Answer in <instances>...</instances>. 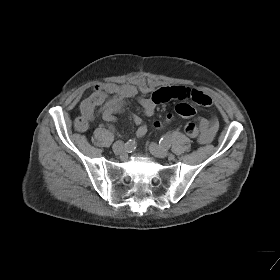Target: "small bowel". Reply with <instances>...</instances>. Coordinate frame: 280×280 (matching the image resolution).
Segmentation results:
<instances>
[{"label": "small bowel", "mask_w": 280, "mask_h": 280, "mask_svg": "<svg viewBox=\"0 0 280 280\" xmlns=\"http://www.w3.org/2000/svg\"><path fill=\"white\" fill-rule=\"evenodd\" d=\"M137 94V88L131 84L119 85L111 82L98 84L91 94L81 102V117L87 124L80 131H85L88 124L97 115H100L106 121H113L115 114L125 112L127 101L136 97ZM169 100H190L201 106H210L212 104V99L208 95L186 87H161L153 91L149 97L138 98L144 114L148 117L154 114L159 104ZM130 118L137 126V137H143L147 132V125L143 119L134 114H131ZM190 123L196 125V132L190 134V136L203 144L213 140L219 127L218 121L215 118L196 117L186 127Z\"/></svg>", "instance_id": "c3829d8e"}]
</instances>
